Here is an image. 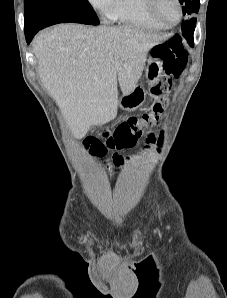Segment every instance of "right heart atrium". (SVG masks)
I'll return each instance as SVG.
<instances>
[{"label": "right heart atrium", "mask_w": 227, "mask_h": 298, "mask_svg": "<svg viewBox=\"0 0 227 298\" xmlns=\"http://www.w3.org/2000/svg\"><path fill=\"white\" fill-rule=\"evenodd\" d=\"M110 0H88V2L96 9L104 11Z\"/></svg>", "instance_id": "right-heart-atrium-1"}]
</instances>
